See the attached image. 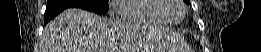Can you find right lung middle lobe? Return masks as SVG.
Instances as JSON below:
<instances>
[{"instance_id":"1","label":"right lung middle lobe","mask_w":261,"mask_h":52,"mask_svg":"<svg viewBox=\"0 0 261 52\" xmlns=\"http://www.w3.org/2000/svg\"><path fill=\"white\" fill-rule=\"evenodd\" d=\"M48 5H64L93 11L95 13L107 12L108 0H48Z\"/></svg>"}]
</instances>
